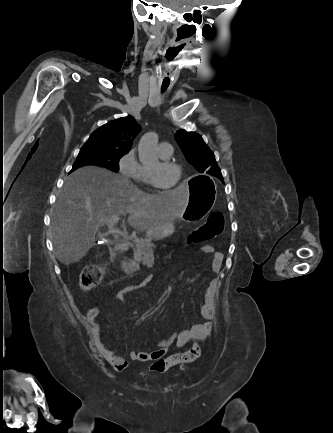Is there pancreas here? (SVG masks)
Segmentation results:
<instances>
[{
	"label": "pancreas",
	"instance_id": "obj_1",
	"mask_svg": "<svg viewBox=\"0 0 333 433\" xmlns=\"http://www.w3.org/2000/svg\"><path fill=\"white\" fill-rule=\"evenodd\" d=\"M128 246L133 248L135 260V262L131 261L128 266L134 267V264H147L146 255L148 254V252L152 251V248L155 245L153 244V237L151 235H148L143 239H139V241H134L133 244L129 243Z\"/></svg>",
	"mask_w": 333,
	"mask_h": 433
}]
</instances>
